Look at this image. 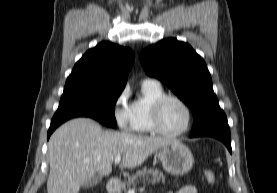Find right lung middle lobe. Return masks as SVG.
<instances>
[{"label": "right lung middle lobe", "mask_w": 277, "mask_h": 193, "mask_svg": "<svg viewBox=\"0 0 277 193\" xmlns=\"http://www.w3.org/2000/svg\"><path fill=\"white\" fill-rule=\"evenodd\" d=\"M121 92L84 87L64 89L55 115L89 117L116 128L114 108Z\"/></svg>", "instance_id": "right-lung-middle-lobe-1"}]
</instances>
